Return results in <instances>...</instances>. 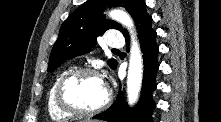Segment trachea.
<instances>
[{
    "label": "trachea",
    "mask_w": 221,
    "mask_h": 122,
    "mask_svg": "<svg viewBox=\"0 0 221 122\" xmlns=\"http://www.w3.org/2000/svg\"><path fill=\"white\" fill-rule=\"evenodd\" d=\"M113 51H118L117 49H113Z\"/></svg>",
    "instance_id": "3493384b"
}]
</instances>
